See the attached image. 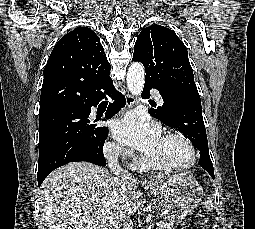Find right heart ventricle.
Segmentation results:
<instances>
[{
	"instance_id": "e07e8e85",
	"label": "right heart ventricle",
	"mask_w": 255,
	"mask_h": 229,
	"mask_svg": "<svg viewBox=\"0 0 255 229\" xmlns=\"http://www.w3.org/2000/svg\"><path fill=\"white\" fill-rule=\"evenodd\" d=\"M134 170H138V171H142L144 169H147L148 166L143 162V161H136L133 165H132Z\"/></svg>"
}]
</instances>
